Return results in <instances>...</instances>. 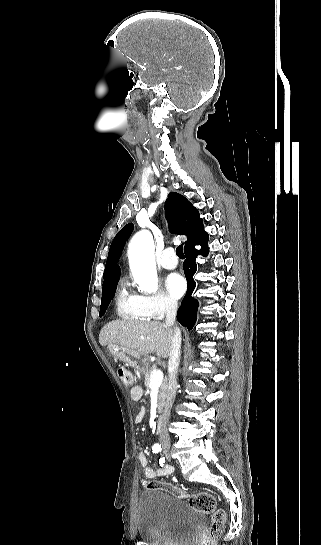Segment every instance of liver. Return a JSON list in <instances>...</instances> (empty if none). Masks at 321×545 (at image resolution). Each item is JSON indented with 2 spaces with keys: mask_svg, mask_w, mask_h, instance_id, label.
Here are the masks:
<instances>
[{
  "mask_svg": "<svg viewBox=\"0 0 321 545\" xmlns=\"http://www.w3.org/2000/svg\"><path fill=\"white\" fill-rule=\"evenodd\" d=\"M174 329H169L160 321H111L100 331L99 343L121 345L140 355L155 353L161 359H167L172 349Z\"/></svg>",
  "mask_w": 321,
  "mask_h": 545,
  "instance_id": "liver-1",
  "label": "liver"
}]
</instances>
